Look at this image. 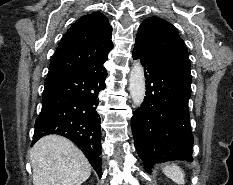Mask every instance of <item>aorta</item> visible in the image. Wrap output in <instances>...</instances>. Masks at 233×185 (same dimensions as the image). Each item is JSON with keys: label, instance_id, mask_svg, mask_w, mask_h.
<instances>
[{"label": "aorta", "instance_id": "obj_1", "mask_svg": "<svg viewBox=\"0 0 233 185\" xmlns=\"http://www.w3.org/2000/svg\"><path fill=\"white\" fill-rule=\"evenodd\" d=\"M129 91L136 107L141 106L145 98L146 84L144 70L140 62H135L130 72Z\"/></svg>", "mask_w": 233, "mask_h": 185}]
</instances>
